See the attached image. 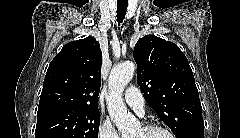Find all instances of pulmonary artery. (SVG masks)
I'll use <instances>...</instances> for the list:
<instances>
[{
  "label": "pulmonary artery",
  "instance_id": "e3ab8cb5",
  "mask_svg": "<svg viewBox=\"0 0 240 138\" xmlns=\"http://www.w3.org/2000/svg\"><path fill=\"white\" fill-rule=\"evenodd\" d=\"M124 100L138 114L144 113L145 101L138 88L129 87L124 94Z\"/></svg>",
  "mask_w": 240,
  "mask_h": 138
}]
</instances>
